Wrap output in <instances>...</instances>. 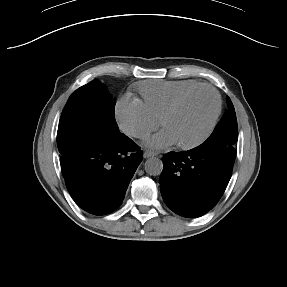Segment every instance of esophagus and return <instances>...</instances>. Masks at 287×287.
I'll use <instances>...</instances> for the list:
<instances>
[{
  "mask_svg": "<svg viewBox=\"0 0 287 287\" xmlns=\"http://www.w3.org/2000/svg\"><path fill=\"white\" fill-rule=\"evenodd\" d=\"M143 156H144V158L154 157V156H156V153L150 152V151H145Z\"/></svg>",
  "mask_w": 287,
  "mask_h": 287,
  "instance_id": "obj_1",
  "label": "esophagus"
}]
</instances>
